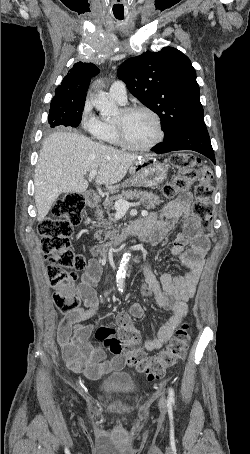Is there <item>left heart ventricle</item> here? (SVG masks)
I'll return each instance as SVG.
<instances>
[{"mask_svg":"<svg viewBox=\"0 0 250 454\" xmlns=\"http://www.w3.org/2000/svg\"><path fill=\"white\" fill-rule=\"evenodd\" d=\"M120 121L125 129L128 140L137 146H144L150 143L157 135L155 121L146 112L138 111L124 115L122 111L115 118Z\"/></svg>","mask_w":250,"mask_h":454,"instance_id":"obj_1","label":"left heart ventricle"}]
</instances>
